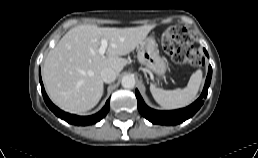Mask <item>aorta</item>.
I'll use <instances>...</instances> for the list:
<instances>
[{
  "mask_svg": "<svg viewBox=\"0 0 258 158\" xmlns=\"http://www.w3.org/2000/svg\"><path fill=\"white\" fill-rule=\"evenodd\" d=\"M135 78L131 75H126L122 78L121 84L124 88L132 89L135 86Z\"/></svg>",
  "mask_w": 258,
  "mask_h": 158,
  "instance_id": "762f6f07",
  "label": "aorta"
}]
</instances>
